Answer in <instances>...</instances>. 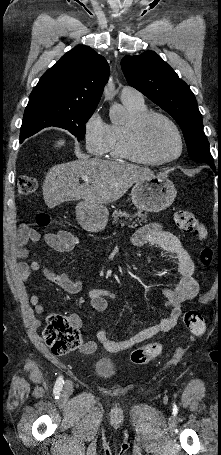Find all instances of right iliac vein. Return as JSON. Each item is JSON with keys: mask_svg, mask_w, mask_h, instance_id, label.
<instances>
[{"mask_svg": "<svg viewBox=\"0 0 221 455\" xmlns=\"http://www.w3.org/2000/svg\"><path fill=\"white\" fill-rule=\"evenodd\" d=\"M73 390V384L72 382L68 381L66 382L65 386H64V394L63 396H66L68 394H70Z\"/></svg>", "mask_w": 221, "mask_h": 455, "instance_id": "obj_1", "label": "right iliac vein"}]
</instances>
